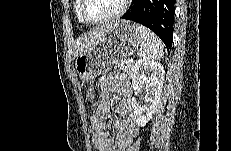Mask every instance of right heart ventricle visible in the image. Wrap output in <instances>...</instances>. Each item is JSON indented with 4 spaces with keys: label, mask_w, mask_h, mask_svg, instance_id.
Wrapping results in <instances>:
<instances>
[{
    "label": "right heart ventricle",
    "mask_w": 231,
    "mask_h": 151,
    "mask_svg": "<svg viewBox=\"0 0 231 151\" xmlns=\"http://www.w3.org/2000/svg\"><path fill=\"white\" fill-rule=\"evenodd\" d=\"M79 8H80V1H77L76 2V8H75L76 9L77 18H78L79 22L85 23V21L80 16Z\"/></svg>",
    "instance_id": "e07e8e85"
}]
</instances>
